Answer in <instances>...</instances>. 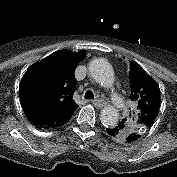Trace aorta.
Listing matches in <instances>:
<instances>
[{"mask_svg":"<svg viewBox=\"0 0 177 177\" xmlns=\"http://www.w3.org/2000/svg\"><path fill=\"white\" fill-rule=\"evenodd\" d=\"M89 72L92 78L104 87L112 86L114 83V71L105 59H94L89 64ZM100 120L106 127L116 126L119 113L113 106H105L100 113Z\"/></svg>","mask_w":177,"mask_h":177,"instance_id":"obj_1","label":"aorta"}]
</instances>
